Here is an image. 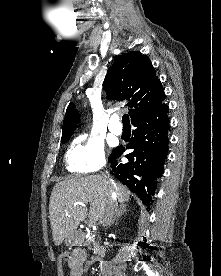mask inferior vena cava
Returning a JSON list of instances; mask_svg holds the SVG:
<instances>
[{"label":"inferior vena cava","instance_id":"inferior-vena-cava-1","mask_svg":"<svg viewBox=\"0 0 221 276\" xmlns=\"http://www.w3.org/2000/svg\"><path fill=\"white\" fill-rule=\"evenodd\" d=\"M118 212L117 195L115 190L110 192L103 216L101 218V224L105 227L113 221Z\"/></svg>","mask_w":221,"mask_h":276}]
</instances>
